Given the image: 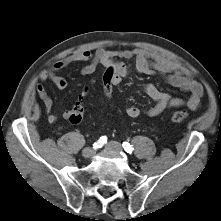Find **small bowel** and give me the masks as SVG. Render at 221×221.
<instances>
[{
  "label": "small bowel",
  "instance_id": "c3829d8e",
  "mask_svg": "<svg viewBox=\"0 0 221 221\" xmlns=\"http://www.w3.org/2000/svg\"><path fill=\"white\" fill-rule=\"evenodd\" d=\"M121 59L133 60V69L137 73L160 75L168 84L189 94L187 99H183L160 90L153 84L143 85L141 87L142 91L154 101V104L146 111L148 116H158L171 108L187 107L195 110L200 107L204 90L202 85L193 78L189 69L166 56L149 54L141 49L110 51L101 47L94 52L88 50L77 51L56 62L51 69L42 71L40 80L42 82L50 81L55 87L63 90L67 87L68 83L64 77L58 74L61 70L77 62H86L87 64L81 69V73L88 75L93 73L98 66L104 68L109 62L114 61L119 66L118 71L114 73L113 77L114 87L131 72V68L121 62ZM36 92L44 104L49 122H56L58 117L53 113V100L41 83L36 84ZM71 112L72 109L63 111L62 118L65 120L69 119ZM126 114L130 118H137L141 114V110L137 106L132 105L126 109Z\"/></svg>",
  "mask_w": 221,
  "mask_h": 221
}]
</instances>
